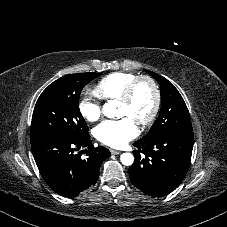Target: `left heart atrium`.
Here are the masks:
<instances>
[{"label":"left heart atrium","mask_w":227,"mask_h":227,"mask_svg":"<svg viewBox=\"0 0 227 227\" xmlns=\"http://www.w3.org/2000/svg\"><path fill=\"white\" fill-rule=\"evenodd\" d=\"M138 130L134 121L128 117L118 120H105L94 131L96 138L103 144L122 148L137 136Z\"/></svg>","instance_id":"left-heart-atrium-1"}]
</instances>
